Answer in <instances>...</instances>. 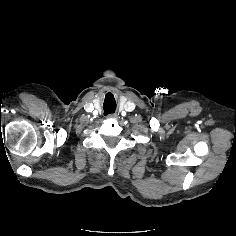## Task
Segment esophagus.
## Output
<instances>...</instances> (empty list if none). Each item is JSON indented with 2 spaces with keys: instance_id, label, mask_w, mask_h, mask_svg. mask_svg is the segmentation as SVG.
Segmentation results:
<instances>
[{
  "instance_id": "1",
  "label": "esophagus",
  "mask_w": 236,
  "mask_h": 236,
  "mask_svg": "<svg viewBox=\"0 0 236 236\" xmlns=\"http://www.w3.org/2000/svg\"><path fill=\"white\" fill-rule=\"evenodd\" d=\"M107 118H109V119H117L118 116H117V114H109V115L107 116Z\"/></svg>"
}]
</instances>
